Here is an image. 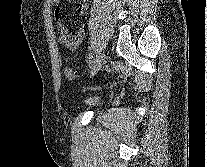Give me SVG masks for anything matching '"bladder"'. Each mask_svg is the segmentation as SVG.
<instances>
[{
	"label": "bladder",
	"instance_id": "bladder-1",
	"mask_svg": "<svg viewBox=\"0 0 207 167\" xmlns=\"http://www.w3.org/2000/svg\"><path fill=\"white\" fill-rule=\"evenodd\" d=\"M82 103L87 108H95L99 104V98L95 96H88L82 100Z\"/></svg>",
	"mask_w": 207,
	"mask_h": 167
}]
</instances>
